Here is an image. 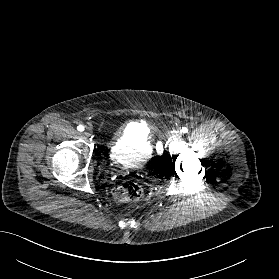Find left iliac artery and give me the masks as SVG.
Listing matches in <instances>:
<instances>
[{"instance_id": "44dca946", "label": "left iliac artery", "mask_w": 279, "mask_h": 279, "mask_svg": "<svg viewBox=\"0 0 279 279\" xmlns=\"http://www.w3.org/2000/svg\"><path fill=\"white\" fill-rule=\"evenodd\" d=\"M181 132H182V133H187V132H188V129H187L186 127H183L182 130H181Z\"/></svg>"}]
</instances>
